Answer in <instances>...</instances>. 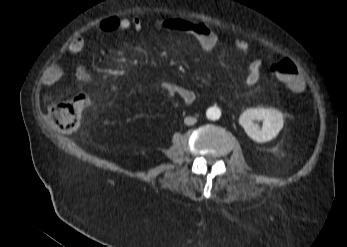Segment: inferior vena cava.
Instances as JSON below:
<instances>
[{
	"instance_id": "1",
	"label": "inferior vena cava",
	"mask_w": 347,
	"mask_h": 247,
	"mask_svg": "<svg viewBox=\"0 0 347 247\" xmlns=\"http://www.w3.org/2000/svg\"><path fill=\"white\" fill-rule=\"evenodd\" d=\"M197 122V119L196 118H194V117H186L185 119H184V123L186 124V125H194L195 123Z\"/></svg>"
}]
</instances>
